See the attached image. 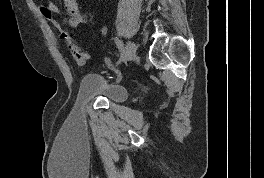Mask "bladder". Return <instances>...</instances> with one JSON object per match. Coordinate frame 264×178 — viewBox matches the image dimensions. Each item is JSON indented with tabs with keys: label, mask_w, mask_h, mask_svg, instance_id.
Returning <instances> with one entry per match:
<instances>
[{
	"label": "bladder",
	"mask_w": 264,
	"mask_h": 178,
	"mask_svg": "<svg viewBox=\"0 0 264 178\" xmlns=\"http://www.w3.org/2000/svg\"><path fill=\"white\" fill-rule=\"evenodd\" d=\"M79 96L81 98H105L116 103L127 100V88L109 77L100 73L85 75L79 85Z\"/></svg>",
	"instance_id": "obj_1"
}]
</instances>
